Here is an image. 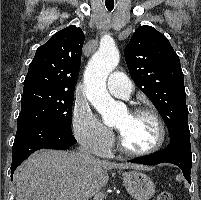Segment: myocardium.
<instances>
[{"label":"myocardium","instance_id":"obj_1","mask_svg":"<svg viewBox=\"0 0 201 200\" xmlns=\"http://www.w3.org/2000/svg\"><path fill=\"white\" fill-rule=\"evenodd\" d=\"M129 114L131 116L148 115L151 118H153L155 120L158 128H159V132H160L159 139H158L157 143L154 146H152L151 148H148L145 150H134L126 144L122 134L118 130L119 148L124 153L129 154V155H133V156H147V155H151V154L158 152L164 146L166 139H167L166 126L164 124V121L160 117V115L156 111H154L148 107H145V106L133 107L129 110Z\"/></svg>","mask_w":201,"mask_h":200}]
</instances>
